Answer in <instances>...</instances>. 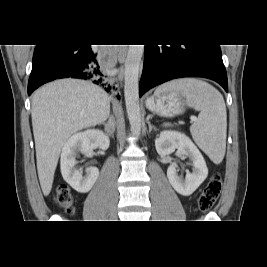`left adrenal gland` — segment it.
Instances as JSON below:
<instances>
[{
  "label": "left adrenal gland",
  "instance_id": "left-adrenal-gland-1",
  "mask_svg": "<svg viewBox=\"0 0 267 267\" xmlns=\"http://www.w3.org/2000/svg\"><path fill=\"white\" fill-rule=\"evenodd\" d=\"M150 118H151V116L148 115V117H147V124H148V126H149V132H151L152 130L157 131V128H156L154 125H152V124L150 123Z\"/></svg>",
  "mask_w": 267,
  "mask_h": 267
}]
</instances>
